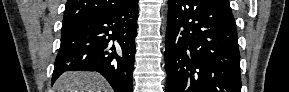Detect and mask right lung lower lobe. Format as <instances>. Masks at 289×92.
<instances>
[{
	"instance_id": "1",
	"label": "right lung lower lobe",
	"mask_w": 289,
	"mask_h": 92,
	"mask_svg": "<svg viewBox=\"0 0 289 92\" xmlns=\"http://www.w3.org/2000/svg\"><path fill=\"white\" fill-rule=\"evenodd\" d=\"M138 0L82 19L61 33L52 84L65 71L101 73L115 92H132Z\"/></svg>"
}]
</instances>
